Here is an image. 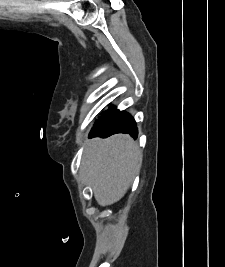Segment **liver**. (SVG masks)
I'll list each match as a JSON object with an SVG mask.
<instances>
[{"label":"liver","instance_id":"liver-1","mask_svg":"<svg viewBox=\"0 0 225 267\" xmlns=\"http://www.w3.org/2000/svg\"><path fill=\"white\" fill-rule=\"evenodd\" d=\"M142 164V153L128 135L92 139L84 152L81 180L92 187L96 202L108 206L127 192Z\"/></svg>","mask_w":225,"mask_h":267}]
</instances>
